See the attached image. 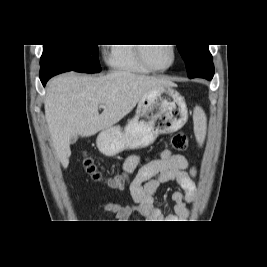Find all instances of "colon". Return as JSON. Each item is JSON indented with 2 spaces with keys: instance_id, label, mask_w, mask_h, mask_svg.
<instances>
[{
  "instance_id": "1",
  "label": "colon",
  "mask_w": 267,
  "mask_h": 267,
  "mask_svg": "<svg viewBox=\"0 0 267 267\" xmlns=\"http://www.w3.org/2000/svg\"><path fill=\"white\" fill-rule=\"evenodd\" d=\"M188 144V137L184 132L175 133L170 140L171 147L177 151H185L188 148ZM83 166L92 179L97 181L103 180L102 171L92 157H86L83 160ZM128 182H130V177H126L125 172L113 175V177L107 180L110 188H123V185H128Z\"/></svg>"
}]
</instances>
